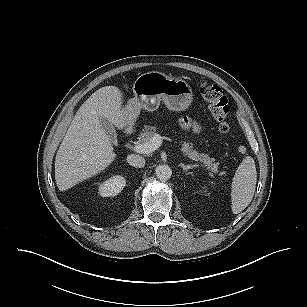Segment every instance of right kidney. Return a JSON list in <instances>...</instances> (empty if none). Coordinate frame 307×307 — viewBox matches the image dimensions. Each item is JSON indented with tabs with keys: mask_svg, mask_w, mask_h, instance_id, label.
<instances>
[{
	"mask_svg": "<svg viewBox=\"0 0 307 307\" xmlns=\"http://www.w3.org/2000/svg\"><path fill=\"white\" fill-rule=\"evenodd\" d=\"M126 180L121 175H115L105 180L99 185L98 193L102 197L115 196L122 191Z\"/></svg>",
	"mask_w": 307,
	"mask_h": 307,
	"instance_id": "right-kidney-1",
	"label": "right kidney"
}]
</instances>
